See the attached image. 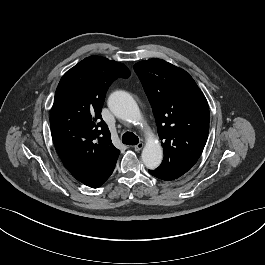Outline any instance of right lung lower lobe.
Masks as SVG:
<instances>
[{"label": "right lung lower lobe", "instance_id": "1", "mask_svg": "<svg viewBox=\"0 0 265 265\" xmlns=\"http://www.w3.org/2000/svg\"><path fill=\"white\" fill-rule=\"evenodd\" d=\"M117 158L118 156L109 159L93 174L78 176L76 179L89 187H100L112 174Z\"/></svg>", "mask_w": 265, "mask_h": 265}]
</instances>
